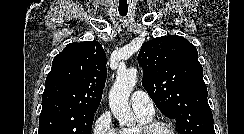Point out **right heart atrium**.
Here are the masks:
<instances>
[{
  "label": "right heart atrium",
  "mask_w": 244,
  "mask_h": 134,
  "mask_svg": "<svg viewBox=\"0 0 244 134\" xmlns=\"http://www.w3.org/2000/svg\"><path fill=\"white\" fill-rule=\"evenodd\" d=\"M92 134H117L110 112L105 111L98 116L93 123Z\"/></svg>",
  "instance_id": "obj_1"
}]
</instances>
